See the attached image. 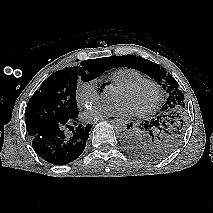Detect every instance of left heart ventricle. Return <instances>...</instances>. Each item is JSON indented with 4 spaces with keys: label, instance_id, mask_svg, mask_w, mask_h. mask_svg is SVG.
Segmentation results:
<instances>
[{
    "label": "left heart ventricle",
    "instance_id": "left-heart-ventricle-1",
    "mask_svg": "<svg viewBox=\"0 0 213 213\" xmlns=\"http://www.w3.org/2000/svg\"><path fill=\"white\" fill-rule=\"evenodd\" d=\"M154 93L150 86L143 85L134 90L118 89L115 95V101H124L130 105L133 111H139L147 108L153 101Z\"/></svg>",
    "mask_w": 213,
    "mask_h": 213
}]
</instances>
